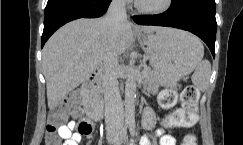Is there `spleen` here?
<instances>
[{"label": "spleen", "mask_w": 243, "mask_h": 145, "mask_svg": "<svg viewBox=\"0 0 243 145\" xmlns=\"http://www.w3.org/2000/svg\"><path fill=\"white\" fill-rule=\"evenodd\" d=\"M202 57L203 52L199 57L195 72L193 73L191 80L197 88H199L201 91H205L209 85L211 64L207 59L202 60Z\"/></svg>", "instance_id": "1"}]
</instances>
